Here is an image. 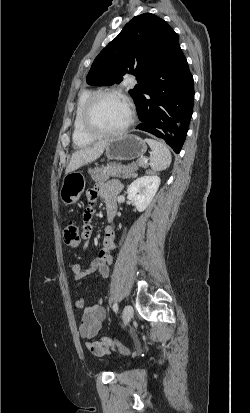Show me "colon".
I'll use <instances>...</instances> for the list:
<instances>
[{
	"instance_id": "5ec220e1",
	"label": "colon",
	"mask_w": 250,
	"mask_h": 413,
	"mask_svg": "<svg viewBox=\"0 0 250 413\" xmlns=\"http://www.w3.org/2000/svg\"><path fill=\"white\" fill-rule=\"evenodd\" d=\"M147 174L150 177H157L159 171L157 168H150L147 171ZM63 238L68 246L73 248L78 247L82 239L79 225L76 222H69L63 230ZM94 344L96 347L100 348L117 346L120 349H124V344L115 338L104 337L94 342Z\"/></svg>"
}]
</instances>
